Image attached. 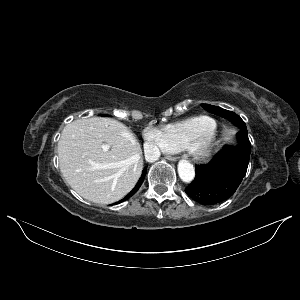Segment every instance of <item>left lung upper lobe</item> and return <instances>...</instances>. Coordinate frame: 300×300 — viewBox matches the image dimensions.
Listing matches in <instances>:
<instances>
[{
  "mask_svg": "<svg viewBox=\"0 0 300 300\" xmlns=\"http://www.w3.org/2000/svg\"><path fill=\"white\" fill-rule=\"evenodd\" d=\"M201 106L210 113L228 119L229 121H231L233 124H235L241 129L240 132L248 134L245 122L234 112L222 109L217 106L209 105V104H202Z\"/></svg>",
  "mask_w": 300,
  "mask_h": 300,
  "instance_id": "1",
  "label": "left lung upper lobe"
}]
</instances>
